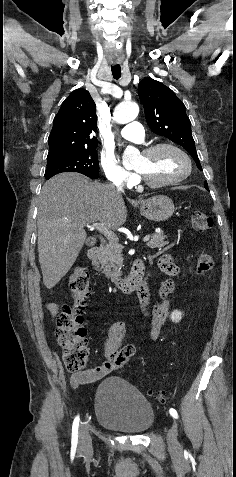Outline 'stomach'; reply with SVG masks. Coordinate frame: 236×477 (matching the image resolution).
Here are the masks:
<instances>
[{"instance_id":"obj_1","label":"stomach","mask_w":236,"mask_h":477,"mask_svg":"<svg viewBox=\"0 0 236 477\" xmlns=\"http://www.w3.org/2000/svg\"><path fill=\"white\" fill-rule=\"evenodd\" d=\"M173 201L164 195H157L140 202L141 214L149 220L160 222L169 219L174 213Z\"/></svg>"}]
</instances>
